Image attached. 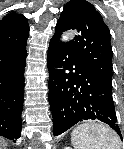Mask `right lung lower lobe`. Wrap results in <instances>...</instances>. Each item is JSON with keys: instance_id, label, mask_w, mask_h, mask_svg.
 I'll use <instances>...</instances> for the list:
<instances>
[{"instance_id": "1", "label": "right lung lower lobe", "mask_w": 124, "mask_h": 149, "mask_svg": "<svg viewBox=\"0 0 124 149\" xmlns=\"http://www.w3.org/2000/svg\"><path fill=\"white\" fill-rule=\"evenodd\" d=\"M26 42L0 48V136H21Z\"/></svg>"}]
</instances>
